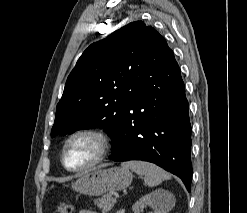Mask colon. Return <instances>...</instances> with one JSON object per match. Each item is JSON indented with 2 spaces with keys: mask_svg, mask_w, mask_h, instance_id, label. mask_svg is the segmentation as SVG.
<instances>
[{
  "mask_svg": "<svg viewBox=\"0 0 247 213\" xmlns=\"http://www.w3.org/2000/svg\"><path fill=\"white\" fill-rule=\"evenodd\" d=\"M54 213H72V207L67 203L60 204Z\"/></svg>",
  "mask_w": 247,
  "mask_h": 213,
  "instance_id": "obj_1",
  "label": "colon"
}]
</instances>
